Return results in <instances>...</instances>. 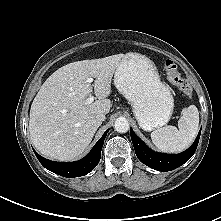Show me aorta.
Segmentation results:
<instances>
[{
    "label": "aorta",
    "mask_w": 221,
    "mask_h": 221,
    "mask_svg": "<svg viewBox=\"0 0 221 221\" xmlns=\"http://www.w3.org/2000/svg\"><path fill=\"white\" fill-rule=\"evenodd\" d=\"M114 129L119 133H125L129 130V122L125 117H119L114 122Z\"/></svg>",
    "instance_id": "1"
}]
</instances>
